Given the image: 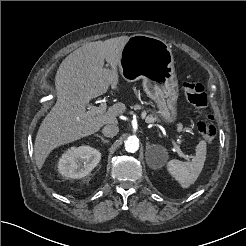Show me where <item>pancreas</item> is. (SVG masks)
I'll return each instance as SVG.
<instances>
[{"label":"pancreas","mask_w":246,"mask_h":246,"mask_svg":"<svg viewBox=\"0 0 246 246\" xmlns=\"http://www.w3.org/2000/svg\"><path fill=\"white\" fill-rule=\"evenodd\" d=\"M132 108H133L134 110H137V109H140L141 107H140L139 105H135V106H133ZM142 115L145 117L146 113L143 112ZM157 120H158V118H157L156 116H153V115H150V116H147V117H146V122H148V123H151V122H154V121H157Z\"/></svg>","instance_id":"pancreas-1"}]
</instances>
